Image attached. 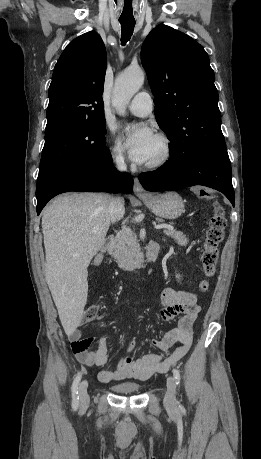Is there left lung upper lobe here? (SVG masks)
Here are the masks:
<instances>
[{
	"mask_svg": "<svg viewBox=\"0 0 261 459\" xmlns=\"http://www.w3.org/2000/svg\"><path fill=\"white\" fill-rule=\"evenodd\" d=\"M141 61L157 123L171 142L169 161L183 166L197 154L226 147L215 75L203 47L160 24L146 37Z\"/></svg>",
	"mask_w": 261,
	"mask_h": 459,
	"instance_id": "5c2ea615",
	"label": "left lung upper lobe"
}]
</instances>
